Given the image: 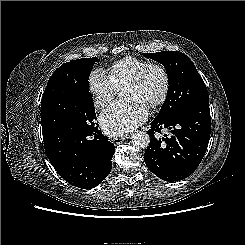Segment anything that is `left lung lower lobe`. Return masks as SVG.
<instances>
[{"instance_id":"0a47b994","label":"left lung lower lobe","mask_w":245,"mask_h":245,"mask_svg":"<svg viewBox=\"0 0 245 245\" xmlns=\"http://www.w3.org/2000/svg\"><path fill=\"white\" fill-rule=\"evenodd\" d=\"M168 128L172 136L165 134L155 138L156 132ZM211 133L209 103L194 104L170 120L151 122L148 130L150 144L144 153L148 169L162 180L180 181L190 176L203 159Z\"/></svg>"}]
</instances>
